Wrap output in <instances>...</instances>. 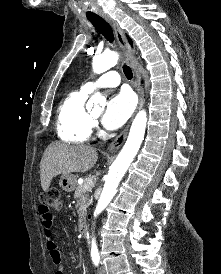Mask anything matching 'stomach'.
<instances>
[{
  "instance_id": "1",
  "label": "stomach",
  "mask_w": 221,
  "mask_h": 274,
  "mask_svg": "<svg viewBox=\"0 0 221 274\" xmlns=\"http://www.w3.org/2000/svg\"><path fill=\"white\" fill-rule=\"evenodd\" d=\"M76 176L69 173L61 176L59 186L66 192H72L75 189Z\"/></svg>"
}]
</instances>
